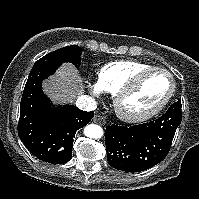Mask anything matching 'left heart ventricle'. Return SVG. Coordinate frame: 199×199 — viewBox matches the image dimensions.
Instances as JSON below:
<instances>
[{
  "label": "left heart ventricle",
  "instance_id": "obj_1",
  "mask_svg": "<svg viewBox=\"0 0 199 199\" xmlns=\"http://www.w3.org/2000/svg\"><path fill=\"white\" fill-rule=\"evenodd\" d=\"M170 87L171 81L167 75L163 73L150 74L141 81L133 93L125 98L123 106L132 113L150 110L164 99Z\"/></svg>",
  "mask_w": 199,
  "mask_h": 199
}]
</instances>
